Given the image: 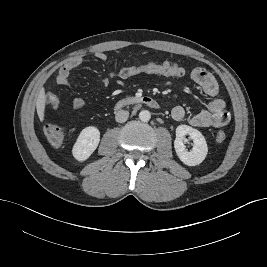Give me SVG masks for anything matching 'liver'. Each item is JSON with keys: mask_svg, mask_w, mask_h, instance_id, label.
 <instances>
[{"mask_svg": "<svg viewBox=\"0 0 267 267\" xmlns=\"http://www.w3.org/2000/svg\"><path fill=\"white\" fill-rule=\"evenodd\" d=\"M45 103H46V95H45L44 88H42L40 90V93L38 95V99L36 102L37 114L41 122L44 121Z\"/></svg>", "mask_w": 267, "mask_h": 267, "instance_id": "liver-1", "label": "liver"}]
</instances>
